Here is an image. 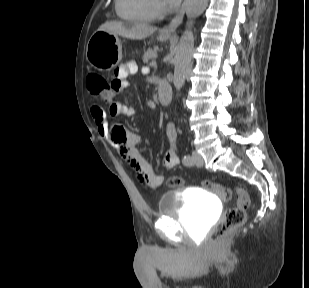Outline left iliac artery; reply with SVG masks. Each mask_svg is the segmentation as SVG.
<instances>
[{
    "instance_id": "1",
    "label": "left iliac artery",
    "mask_w": 309,
    "mask_h": 288,
    "mask_svg": "<svg viewBox=\"0 0 309 288\" xmlns=\"http://www.w3.org/2000/svg\"><path fill=\"white\" fill-rule=\"evenodd\" d=\"M183 163H184V165H186V166H190V165L193 164V158H192L190 155H185V156L183 157Z\"/></svg>"
}]
</instances>
